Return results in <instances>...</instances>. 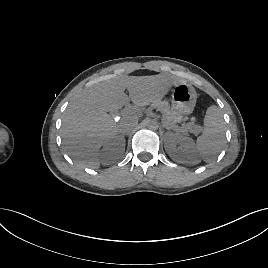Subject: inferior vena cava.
I'll return each mask as SVG.
<instances>
[{
	"label": "inferior vena cava",
	"instance_id": "obj_1",
	"mask_svg": "<svg viewBox=\"0 0 268 268\" xmlns=\"http://www.w3.org/2000/svg\"><path fill=\"white\" fill-rule=\"evenodd\" d=\"M138 124V118L135 116H130L119 123V132L122 134L130 133L134 127Z\"/></svg>",
	"mask_w": 268,
	"mask_h": 268
}]
</instances>
